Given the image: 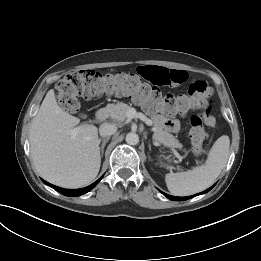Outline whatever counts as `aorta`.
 Here are the masks:
<instances>
[{
	"label": "aorta",
	"mask_w": 261,
	"mask_h": 261,
	"mask_svg": "<svg viewBox=\"0 0 261 261\" xmlns=\"http://www.w3.org/2000/svg\"><path fill=\"white\" fill-rule=\"evenodd\" d=\"M125 140H126L127 144H129V145H137L139 143V136H138V134H136L134 132H129L126 135Z\"/></svg>",
	"instance_id": "762f6f07"
}]
</instances>
